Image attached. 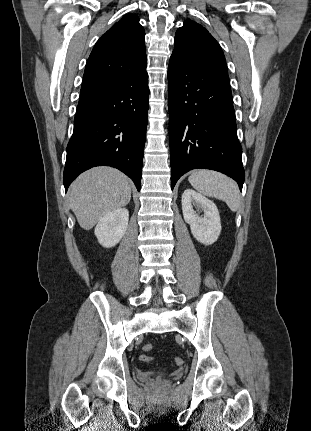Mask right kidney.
<instances>
[{
	"label": "right kidney",
	"mask_w": 311,
	"mask_h": 431,
	"mask_svg": "<svg viewBox=\"0 0 311 431\" xmlns=\"http://www.w3.org/2000/svg\"><path fill=\"white\" fill-rule=\"evenodd\" d=\"M129 221V212L126 208L112 210L99 219L94 233L101 245L112 247L119 243L126 233Z\"/></svg>",
	"instance_id": "right-kidney-1"
}]
</instances>
